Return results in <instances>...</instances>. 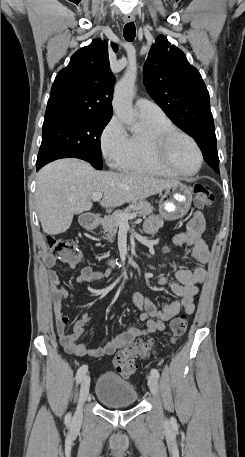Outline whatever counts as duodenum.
<instances>
[{"label":"duodenum","instance_id":"410a0bca","mask_svg":"<svg viewBox=\"0 0 245 457\" xmlns=\"http://www.w3.org/2000/svg\"><path fill=\"white\" fill-rule=\"evenodd\" d=\"M97 223V217L93 214L85 215L82 219V224L84 226H94ZM114 265V264H113Z\"/></svg>","mask_w":245,"mask_h":457}]
</instances>
